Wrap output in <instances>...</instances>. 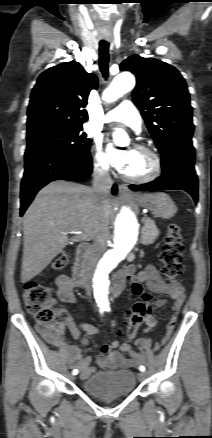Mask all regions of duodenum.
Instances as JSON below:
<instances>
[{
    "label": "duodenum",
    "mask_w": 212,
    "mask_h": 438,
    "mask_svg": "<svg viewBox=\"0 0 212 438\" xmlns=\"http://www.w3.org/2000/svg\"><path fill=\"white\" fill-rule=\"evenodd\" d=\"M89 251H90V245L88 243H82L77 248L75 263L73 267V274H74L73 279L75 284L79 287L83 286L85 281L86 264H87ZM122 287H123L122 282L116 279L114 286L115 296L119 294Z\"/></svg>",
    "instance_id": "1"
}]
</instances>
